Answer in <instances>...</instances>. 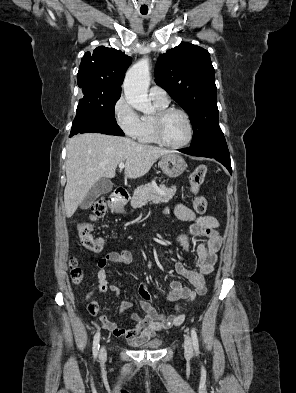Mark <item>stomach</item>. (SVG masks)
Masks as SVG:
<instances>
[{
    "instance_id": "1",
    "label": "stomach",
    "mask_w": 296,
    "mask_h": 393,
    "mask_svg": "<svg viewBox=\"0 0 296 393\" xmlns=\"http://www.w3.org/2000/svg\"><path fill=\"white\" fill-rule=\"evenodd\" d=\"M159 166L166 176L176 178L185 171L187 164L180 155L171 153L161 157Z\"/></svg>"
}]
</instances>
